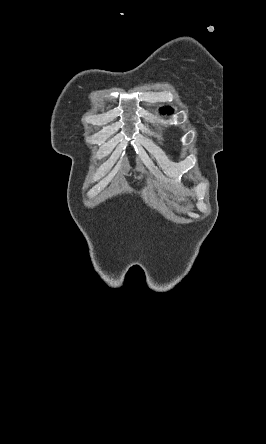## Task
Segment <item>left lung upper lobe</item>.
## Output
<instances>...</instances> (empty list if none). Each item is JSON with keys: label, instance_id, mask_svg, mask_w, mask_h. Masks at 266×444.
Listing matches in <instances>:
<instances>
[{"label": "left lung upper lobe", "instance_id": "left-lung-upper-lobe-1", "mask_svg": "<svg viewBox=\"0 0 266 444\" xmlns=\"http://www.w3.org/2000/svg\"><path fill=\"white\" fill-rule=\"evenodd\" d=\"M173 109L171 107H163L161 108V113L165 114V113H172Z\"/></svg>", "mask_w": 266, "mask_h": 444}]
</instances>
